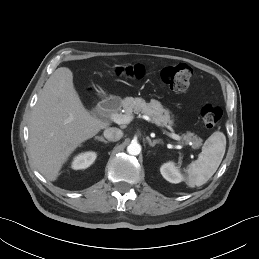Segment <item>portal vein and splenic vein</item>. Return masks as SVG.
I'll list each match as a JSON object with an SVG mask.
<instances>
[{"label":"portal vein and splenic vein","mask_w":259,"mask_h":259,"mask_svg":"<svg viewBox=\"0 0 259 259\" xmlns=\"http://www.w3.org/2000/svg\"><path fill=\"white\" fill-rule=\"evenodd\" d=\"M110 119L117 124H128L132 121L133 117L130 114L113 113L110 115ZM168 135L177 141H181L182 139L179 135L174 133H169Z\"/></svg>","instance_id":"portal-vein-and-splenic-vein-1"}]
</instances>
